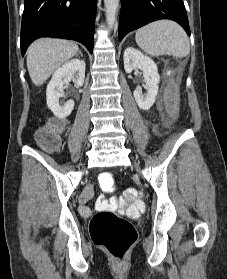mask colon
Masks as SVG:
<instances>
[{
  "label": "colon",
  "mask_w": 227,
  "mask_h": 279,
  "mask_svg": "<svg viewBox=\"0 0 227 279\" xmlns=\"http://www.w3.org/2000/svg\"><path fill=\"white\" fill-rule=\"evenodd\" d=\"M64 123L61 120H52L44 128L37 131L36 142L47 152L57 150L61 143L60 134ZM99 184L105 191L116 185V178L105 173L100 176ZM136 194L128 190L125 195L129 198ZM90 234L93 240L103 246L114 258L123 260L134 243L137 234L132 224L125 218L110 210L97 212L91 221Z\"/></svg>",
  "instance_id": "1"
}]
</instances>
